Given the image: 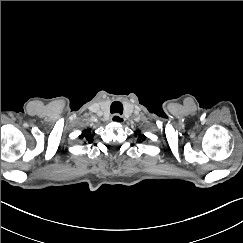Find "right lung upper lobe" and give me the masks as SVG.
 <instances>
[{
  "label": "right lung upper lobe",
  "mask_w": 243,
  "mask_h": 243,
  "mask_svg": "<svg viewBox=\"0 0 243 243\" xmlns=\"http://www.w3.org/2000/svg\"><path fill=\"white\" fill-rule=\"evenodd\" d=\"M79 138L91 143L93 141V135H91V130L89 129L83 131L82 134L79 136Z\"/></svg>",
  "instance_id": "obj_1"
}]
</instances>
